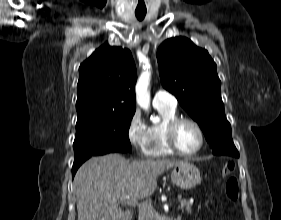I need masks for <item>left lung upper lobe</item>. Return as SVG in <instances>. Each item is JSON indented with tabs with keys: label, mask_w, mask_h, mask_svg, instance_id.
<instances>
[{
	"label": "left lung upper lobe",
	"mask_w": 281,
	"mask_h": 220,
	"mask_svg": "<svg viewBox=\"0 0 281 220\" xmlns=\"http://www.w3.org/2000/svg\"><path fill=\"white\" fill-rule=\"evenodd\" d=\"M157 60L163 87L200 125L213 154L235 156L238 151L224 112L221 82L208 51L185 37H175L160 45Z\"/></svg>",
	"instance_id": "obj_1"
}]
</instances>
